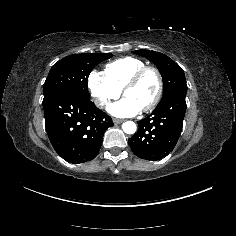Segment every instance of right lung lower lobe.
Wrapping results in <instances>:
<instances>
[{
    "mask_svg": "<svg viewBox=\"0 0 236 236\" xmlns=\"http://www.w3.org/2000/svg\"><path fill=\"white\" fill-rule=\"evenodd\" d=\"M45 126L55 151L79 164L94 159L112 119L90 100L58 92L43 99Z\"/></svg>",
    "mask_w": 236,
    "mask_h": 236,
    "instance_id": "obj_1",
    "label": "right lung lower lobe"
}]
</instances>
